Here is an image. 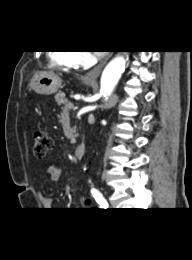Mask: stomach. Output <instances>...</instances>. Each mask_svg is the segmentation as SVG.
I'll use <instances>...</instances> for the list:
<instances>
[{
	"label": "stomach",
	"mask_w": 192,
	"mask_h": 260,
	"mask_svg": "<svg viewBox=\"0 0 192 260\" xmlns=\"http://www.w3.org/2000/svg\"><path fill=\"white\" fill-rule=\"evenodd\" d=\"M85 84H91V81H85ZM62 86V80L54 73H37L31 80V88L41 95L55 94Z\"/></svg>",
	"instance_id": "obj_1"
}]
</instances>
